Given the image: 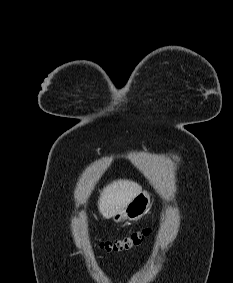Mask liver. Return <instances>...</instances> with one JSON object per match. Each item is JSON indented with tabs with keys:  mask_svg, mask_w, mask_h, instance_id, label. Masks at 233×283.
I'll return each mask as SVG.
<instances>
[{
	"mask_svg": "<svg viewBox=\"0 0 233 283\" xmlns=\"http://www.w3.org/2000/svg\"><path fill=\"white\" fill-rule=\"evenodd\" d=\"M140 192L142 187L131 180H117L108 184L100 193L98 209L109 219L123 210Z\"/></svg>",
	"mask_w": 233,
	"mask_h": 283,
	"instance_id": "liver-1",
	"label": "liver"
}]
</instances>
